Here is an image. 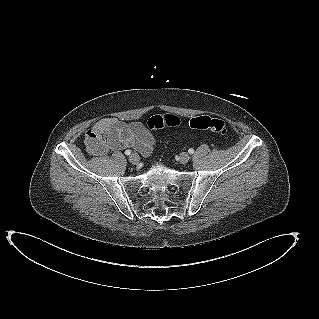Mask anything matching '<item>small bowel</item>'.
Returning <instances> with one entry per match:
<instances>
[{"label": "small bowel", "instance_id": "c3829d8e", "mask_svg": "<svg viewBox=\"0 0 319 319\" xmlns=\"http://www.w3.org/2000/svg\"><path fill=\"white\" fill-rule=\"evenodd\" d=\"M87 152L92 156H105L110 151L133 148L143 156L155 149L156 139L141 122H123L105 117L97 121L85 138Z\"/></svg>", "mask_w": 319, "mask_h": 319}]
</instances>
